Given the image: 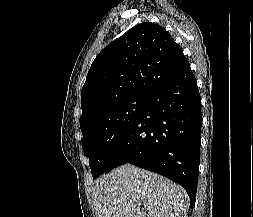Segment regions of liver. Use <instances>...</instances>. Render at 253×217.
<instances>
[{"label":"liver","instance_id":"6515ba94","mask_svg":"<svg viewBox=\"0 0 253 217\" xmlns=\"http://www.w3.org/2000/svg\"><path fill=\"white\" fill-rule=\"evenodd\" d=\"M188 202L178 184L131 164L98 178L93 187L97 217H187Z\"/></svg>","mask_w":253,"mask_h":217}]
</instances>
